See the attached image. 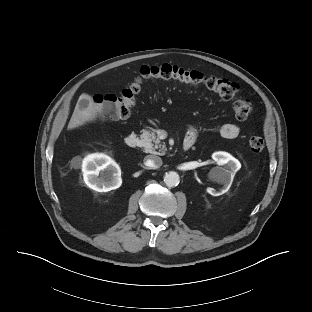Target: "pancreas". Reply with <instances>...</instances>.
Here are the masks:
<instances>
[{"label":"pancreas","mask_w":312,"mask_h":312,"mask_svg":"<svg viewBox=\"0 0 312 312\" xmlns=\"http://www.w3.org/2000/svg\"><path fill=\"white\" fill-rule=\"evenodd\" d=\"M141 146L144 147L146 153L164 155L167 148L165 144H161L159 138L156 136L155 130L143 131L140 135Z\"/></svg>","instance_id":"cf45deb5"}]
</instances>
